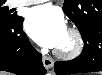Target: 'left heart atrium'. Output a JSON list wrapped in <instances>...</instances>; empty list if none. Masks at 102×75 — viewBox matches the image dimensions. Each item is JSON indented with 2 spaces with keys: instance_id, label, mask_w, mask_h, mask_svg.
<instances>
[{
  "instance_id": "left-heart-atrium-1",
  "label": "left heart atrium",
  "mask_w": 102,
  "mask_h": 75,
  "mask_svg": "<svg viewBox=\"0 0 102 75\" xmlns=\"http://www.w3.org/2000/svg\"><path fill=\"white\" fill-rule=\"evenodd\" d=\"M25 28L38 45L46 48H57L67 32L64 18L51 5L30 9Z\"/></svg>"
}]
</instances>
